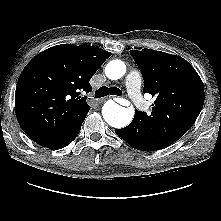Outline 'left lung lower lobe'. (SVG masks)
<instances>
[{"instance_id":"left-lung-lower-lobe-1","label":"left lung lower lobe","mask_w":221,"mask_h":221,"mask_svg":"<svg viewBox=\"0 0 221 221\" xmlns=\"http://www.w3.org/2000/svg\"><path fill=\"white\" fill-rule=\"evenodd\" d=\"M115 133L125 140L131 147L142 151H149L137 140L135 130L130 124L125 128L115 130Z\"/></svg>"}]
</instances>
